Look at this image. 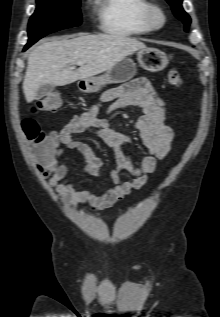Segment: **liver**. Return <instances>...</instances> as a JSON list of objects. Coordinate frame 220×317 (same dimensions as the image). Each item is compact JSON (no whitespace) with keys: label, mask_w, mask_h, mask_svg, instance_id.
<instances>
[{"label":"liver","mask_w":220,"mask_h":317,"mask_svg":"<svg viewBox=\"0 0 220 317\" xmlns=\"http://www.w3.org/2000/svg\"><path fill=\"white\" fill-rule=\"evenodd\" d=\"M146 48L137 39L117 34L53 39L32 49L28 56L23 92L28 103L45 84L64 86L111 69L135 51ZM83 63L77 70L71 66Z\"/></svg>","instance_id":"6515ba94"}]
</instances>
